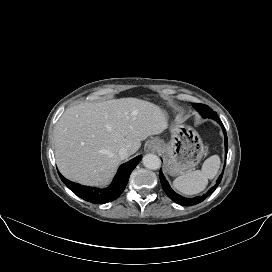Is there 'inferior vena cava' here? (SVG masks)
<instances>
[{
  "label": "inferior vena cava",
  "instance_id": "inferior-vena-cava-1",
  "mask_svg": "<svg viewBox=\"0 0 272 272\" xmlns=\"http://www.w3.org/2000/svg\"><path fill=\"white\" fill-rule=\"evenodd\" d=\"M118 155H119L120 159L123 160V159L128 158L130 156V153L126 147H122L119 149Z\"/></svg>",
  "mask_w": 272,
  "mask_h": 272
}]
</instances>
